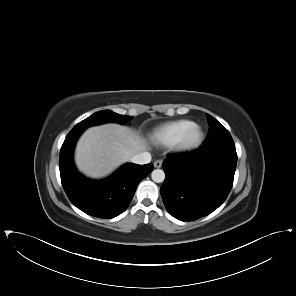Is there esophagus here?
I'll list each match as a JSON object with an SVG mask.
<instances>
[{
	"mask_svg": "<svg viewBox=\"0 0 296 296\" xmlns=\"http://www.w3.org/2000/svg\"><path fill=\"white\" fill-rule=\"evenodd\" d=\"M162 166V160H156L155 162H154V167L155 168H160Z\"/></svg>",
	"mask_w": 296,
	"mask_h": 296,
	"instance_id": "34e87169",
	"label": "esophagus"
}]
</instances>
